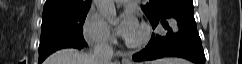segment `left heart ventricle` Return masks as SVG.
<instances>
[{"label":"left heart ventricle","mask_w":242,"mask_h":64,"mask_svg":"<svg viewBox=\"0 0 242 64\" xmlns=\"http://www.w3.org/2000/svg\"><path fill=\"white\" fill-rule=\"evenodd\" d=\"M140 31L138 29V31L128 40H136L139 37Z\"/></svg>","instance_id":"b2bd125f"}]
</instances>
